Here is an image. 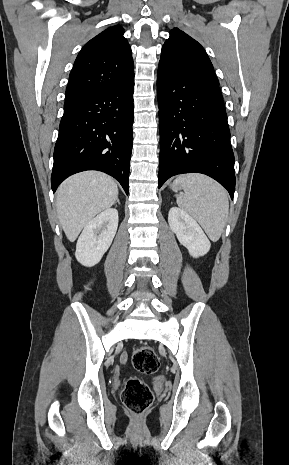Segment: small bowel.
Listing matches in <instances>:
<instances>
[{
	"instance_id": "c3829d8e",
	"label": "small bowel",
	"mask_w": 289,
	"mask_h": 465,
	"mask_svg": "<svg viewBox=\"0 0 289 465\" xmlns=\"http://www.w3.org/2000/svg\"><path fill=\"white\" fill-rule=\"evenodd\" d=\"M121 358H122L123 361H126L127 355H126V354H122Z\"/></svg>"
}]
</instances>
